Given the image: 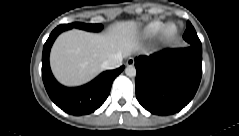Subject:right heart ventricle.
<instances>
[{"mask_svg":"<svg viewBox=\"0 0 239 136\" xmlns=\"http://www.w3.org/2000/svg\"><path fill=\"white\" fill-rule=\"evenodd\" d=\"M162 28H163L162 22L154 21L147 25L146 32L149 35H156L162 30Z\"/></svg>","mask_w":239,"mask_h":136,"instance_id":"1","label":"right heart ventricle"}]
</instances>
